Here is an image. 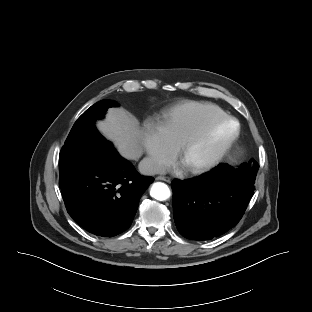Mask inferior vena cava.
I'll return each mask as SVG.
<instances>
[{"mask_svg": "<svg viewBox=\"0 0 312 312\" xmlns=\"http://www.w3.org/2000/svg\"><path fill=\"white\" fill-rule=\"evenodd\" d=\"M139 171L144 175L162 174L166 171V166L153 158H144L139 163Z\"/></svg>", "mask_w": 312, "mask_h": 312, "instance_id": "1", "label": "inferior vena cava"}]
</instances>
